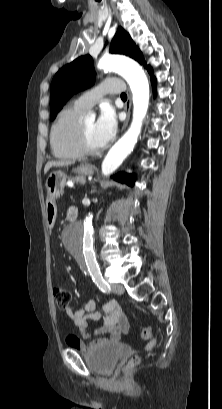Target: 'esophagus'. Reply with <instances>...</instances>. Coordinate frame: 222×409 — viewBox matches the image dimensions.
Returning <instances> with one entry per match:
<instances>
[{
  "instance_id": "obj_1",
  "label": "esophagus",
  "mask_w": 222,
  "mask_h": 409,
  "mask_svg": "<svg viewBox=\"0 0 222 409\" xmlns=\"http://www.w3.org/2000/svg\"><path fill=\"white\" fill-rule=\"evenodd\" d=\"M131 103H132V96H131L130 90L128 89L127 90V101H126V106H125L127 117H126L125 121L123 122V125L121 127V132L127 127L128 123H129L130 114H131Z\"/></svg>"
}]
</instances>
